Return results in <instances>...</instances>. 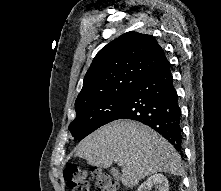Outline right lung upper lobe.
Masks as SVG:
<instances>
[{"instance_id":"1","label":"right lung upper lobe","mask_w":221,"mask_h":191,"mask_svg":"<svg viewBox=\"0 0 221 191\" xmlns=\"http://www.w3.org/2000/svg\"><path fill=\"white\" fill-rule=\"evenodd\" d=\"M166 60L152 36L134 31L121 35L95 56L84 77L75 110L132 91Z\"/></svg>"}]
</instances>
